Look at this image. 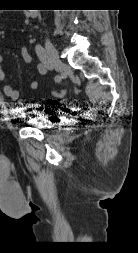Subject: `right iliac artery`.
Segmentation results:
<instances>
[{"mask_svg": "<svg viewBox=\"0 0 138 253\" xmlns=\"http://www.w3.org/2000/svg\"><path fill=\"white\" fill-rule=\"evenodd\" d=\"M35 51L36 54L38 56V58L40 59L41 63L48 69H52V62L48 56V54L46 53L45 49L43 48L42 45L37 44L35 47ZM55 82H59L60 81V76L56 75L54 78Z\"/></svg>", "mask_w": 138, "mask_h": 253, "instance_id": "82829eb1", "label": "right iliac artery"}]
</instances>
